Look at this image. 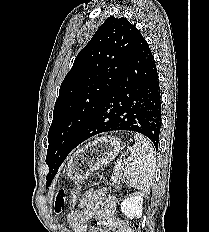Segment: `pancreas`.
Listing matches in <instances>:
<instances>
[{
  "mask_svg": "<svg viewBox=\"0 0 209 232\" xmlns=\"http://www.w3.org/2000/svg\"><path fill=\"white\" fill-rule=\"evenodd\" d=\"M123 167L121 165H116L111 180L113 181L116 187L121 185V181L123 180Z\"/></svg>",
  "mask_w": 209,
  "mask_h": 232,
  "instance_id": "cf45deb5",
  "label": "pancreas"
}]
</instances>
